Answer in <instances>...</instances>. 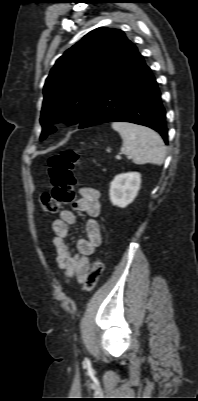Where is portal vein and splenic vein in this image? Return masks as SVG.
Here are the masks:
<instances>
[{
    "label": "portal vein and splenic vein",
    "instance_id": "portal-vein-and-splenic-vein-1",
    "mask_svg": "<svg viewBox=\"0 0 198 401\" xmlns=\"http://www.w3.org/2000/svg\"><path fill=\"white\" fill-rule=\"evenodd\" d=\"M121 157L119 155L116 156V159H120Z\"/></svg>",
    "mask_w": 198,
    "mask_h": 401
}]
</instances>
